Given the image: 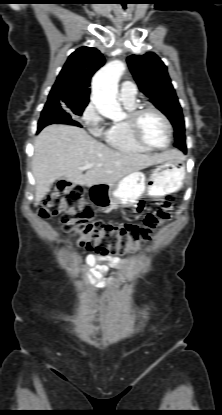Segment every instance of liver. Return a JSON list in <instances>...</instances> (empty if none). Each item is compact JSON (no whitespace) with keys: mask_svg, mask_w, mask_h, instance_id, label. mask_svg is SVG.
Listing matches in <instances>:
<instances>
[{"mask_svg":"<svg viewBox=\"0 0 222 415\" xmlns=\"http://www.w3.org/2000/svg\"><path fill=\"white\" fill-rule=\"evenodd\" d=\"M182 158L171 149L153 155L121 152L91 137L84 129L53 124L36 137L32 171L36 181L35 205L45 197L50 186L62 177L81 186L112 185L123 177L169 159ZM93 163L85 174L81 167Z\"/></svg>","mask_w":222,"mask_h":415,"instance_id":"obj_1","label":"liver"}]
</instances>
